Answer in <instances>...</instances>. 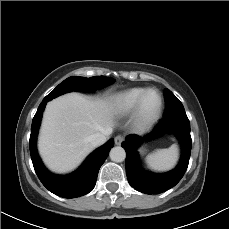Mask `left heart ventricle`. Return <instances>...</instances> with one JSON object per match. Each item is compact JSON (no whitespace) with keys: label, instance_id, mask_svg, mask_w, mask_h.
Returning <instances> with one entry per match:
<instances>
[{"label":"left heart ventricle","instance_id":"b2bd125f","mask_svg":"<svg viewBox=\"0 0 229 229\" xmlns=\"http://www.w3.org/2000/svg\"><path fill=\"white\" fill-rule=\"evenodd\" d=\"M158 104V95L156 93H151L148 95L146 100V106L148 109H154Z\"/></svg>","mask_w":229,"mask_h":229}]
</instances>
